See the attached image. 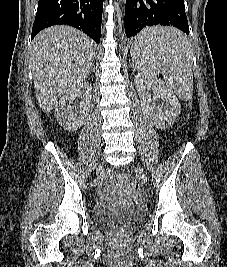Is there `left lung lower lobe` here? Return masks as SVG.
I'll list each match as a JSON object with an SVG mask.
<instances>
[{
	"instance_id": "obj_1",
	"label": "left lung lower lobe",
	"mask_w": 227,
	"mask_h": 267,
	"mask_svg": "<svg viewBox=\"0 0 227 267\" xmlns=\"http://www.w3.org/2000/svg\"><path fill=\"white\" fill-rule=\"evenodd\" d=\"M153 25L173 26L189 35V26L185 13L184 0H126L125 33L132 38V44L138 42L137 35L143 28ZM173 45L166 40L162 47Z\"/></svg>"
}]
</instances>
